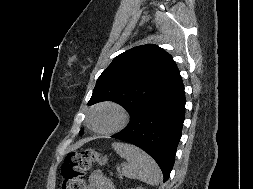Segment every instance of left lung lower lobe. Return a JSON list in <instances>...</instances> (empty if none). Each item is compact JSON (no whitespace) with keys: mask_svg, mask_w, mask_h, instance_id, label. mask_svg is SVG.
Here are the masks:
<instances>
[{"mask_svg":"<svg viewBox=\"0 0 253 189\" xmlns=\"http://www.w3.org/2000/svg\"><path fill=\"white\" fill-rule=\"evenodd\" d=\"M185 102L180 76L167 91L132 116L126 128L112 136L151 155L163 172L164 182L169 178L181 138Z\"/></svg>","mask_w":253,"mask_h":189,"instance_id":"1","label":"left lung lower lobe"}]
</instances>
